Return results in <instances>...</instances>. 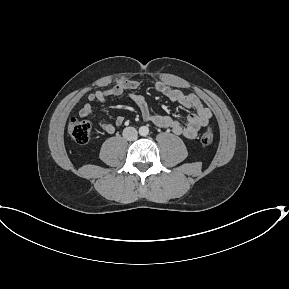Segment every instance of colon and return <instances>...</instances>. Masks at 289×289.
I'll use <instances>...</instances> for the list:
<instances>
[{
  "instance_id": "1",
  "label": "colon",
  "mask_w": 289,
  "mask_h": 289,
  "mask_svg": "<svg viewBox=\"0 0 289 289\" xmlns=\"http://www.w3.org/2000/svg\"><path fill=\"white\" fill-rule=\"evenodd\" d=\"M68 132L74 141L79 144H85L90 138L91 123L87 119L72 118L68 123ZM200 139L203 144H210L214 139L212 128L205 129Z\"/></svg>"
}]
</instances>
